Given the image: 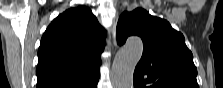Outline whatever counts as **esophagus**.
Returning <instances> with one entry per match:
<instances>
[{
    "mask_svg": "<svg viewBox=\"0 0 223 88\" xmlns=\"http://www.w3.org/2000/svg\"><path fill=\"white\" fill-rule=\"evenodd\" d=\"M116 7V3H115ZM118 22V14L115 13L113 16V22H112V35H113V45L114 47H117V38H116V27Z\"/></svg>",
    "mask_w": 223,
    "mask_h": 88,
    "instance_id": "1",
    "label": "esophagus"
}]
</instances>
